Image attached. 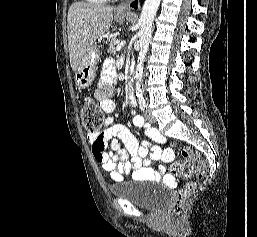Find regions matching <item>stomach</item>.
Returning a JSON list of instances; mask_svg holds the SVG:
<instances>
[{
  "label": "stomach",
  "instance_id": "1",
  "mask_svg": "<svg viewBox=\"0 0 257 237\" xmlns=\"http://www.w3.org/2000/svg\"><path fill=\"white\" fill-rule=\"evenodd\" d=\"M128 16L117 13L115 20L122 22ZM99 60V46L95 42L83 56L77 70L75 71V84L79 89L88 88L96 76L97 63Z\"/></svg>",
  "mask_w": 257,
  "mask_h": 237
}]
</instances>
